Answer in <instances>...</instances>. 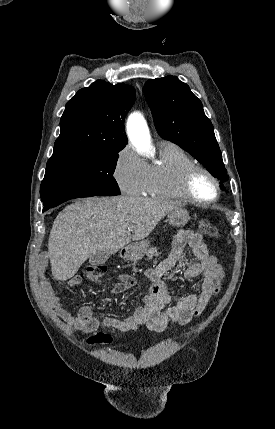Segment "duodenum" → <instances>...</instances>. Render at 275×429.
<instances>
[{
	"instance_id": "410a0bca",
	"label": "duodenum",
	"mask_w": 275,
	"mask_h": 429,
	"mask_svg": "<svg viewBox=\"0 0 275 429\" xmlns=\"http://www.w3.org/2000/svg\"><path fill=\"white\" fill-rule=\"evenodd\" d=\"M129 251H130V248H127V249L124 250L125 253H127Z\"/></svg>"
}]
</instances>
